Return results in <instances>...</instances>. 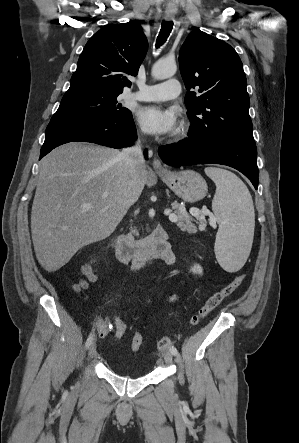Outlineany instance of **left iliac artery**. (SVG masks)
<instances>
[{
	"instance_id": "1",
	"label": "left iliac artery",
	"mask_w": 299,
	"mask_h": 443,
	"mask_svg": "<svg viewBox=\"0 0 299 443\" xmlns=\"http://www.w3.org/2000/svg\"><path fill=\"white\" fill-rule=\"evenodd\" d=\"M170 352H171L173 355H177V354H178V351H177V349H176L174 346L170 347Z\"/></svg>"
}]
</instances>
